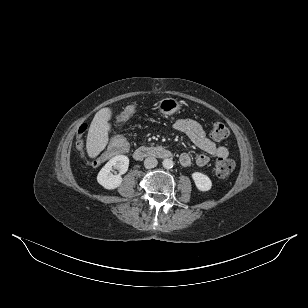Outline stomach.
Returning a JSON list of instances; mask_svg holds the SVG:
<instances>
[{
	"label": "stomach",
	"instance_id": "1",
	"mask_svg": "<svg viewBox=\"0 0 308 308\" xmlns=\"http://www.w3.org/2000/svg\"><path fill=\"white\" fill-rule=\"evenodd\" d=\"M181 108V103L174 98L162 99L158 104V109L163 115H172Z\"/></svg>",
	"mask_w": 308,
	"mask_h": 308
}]
</instances>
